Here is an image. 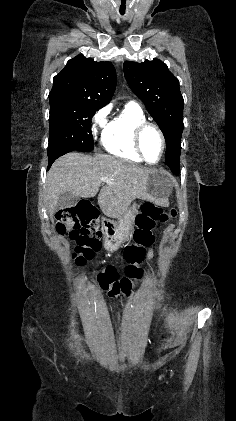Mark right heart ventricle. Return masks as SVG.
I'll list each match as a JSON object with an SVG mask.
<instances>
[{"label": "right heart ventricle", "mask_w": 236, "mask_h": 421, "mask_svg": "<svg viewBox=\"0 0 236 421\" xmlns=\"http://www.w3.org/2000/svg\"><path fill=\"white\" fill-rule=\"evenodd\" d=\"M146 116L142 108L135 102H128L124 109L109 121L101 134V146L109 154L140 164L143 162L134 146V130Z\"/></svg>", "instance_id": "1"}]
</instances>
